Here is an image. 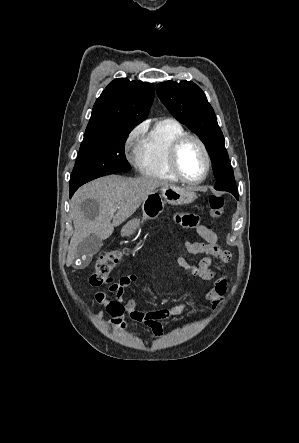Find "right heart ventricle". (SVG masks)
I'll return each instance as SVG.
<instances>
[{"label":"right heart ventricle","instance_id":"e07e8e85","mask_svg":"<svg viewBox=\"0 0 299 443\" xmlns=\"http://www.w3.org/2000/svg\"><path fill=\"white\" fill-rule=\"evenodd\" d=\"M186 134L183 125L176 119L157 121L140 142L138 167L142 175L150 178L178 181L169 164L172 143Z\"/></svg>","mask_w":299,"mask_h":443}]
</instances>
